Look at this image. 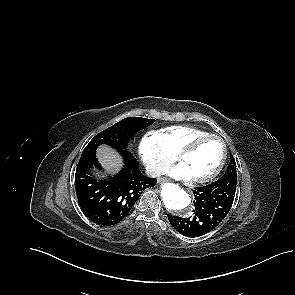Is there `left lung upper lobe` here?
<instances>
[{
  "instance_id": "5c2ea615",
  "label": "left lung upper lobe",
  "mask_w": 295,
  "mask_h": 295,
  "mask_svg": "<svg viewBox=\"0 0 295 295\" xmlns=\"http://www.w3.org/2000/svg\"><path fill=\"white\" fill-rule=\"evenodd\" d=\"M224 176H233V177L237 178L236 163H235V159L232 155H231L230 163L227 167V170L225 171V173L222 177H224Z\"/></svg>"
}]
</instances>
